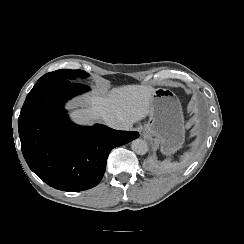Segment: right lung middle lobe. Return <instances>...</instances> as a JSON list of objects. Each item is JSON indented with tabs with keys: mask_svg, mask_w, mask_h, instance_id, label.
<instances>
[{
	"mask_svg": "<svg viewBox=\"0 0 244 244\" xmlns=\"http://www.w3.org/2000/svg\"><path fill=\"white\" fill-rule=\"evenodd\" d=\"M89 76L88 73H86L83 70H67V69H61L54 72H50L42 76L37 83H41L44 81H55V80H70L74 81L78 77L80 78H86Z\"/></svg>",
	"mask_w": 244,
	"mask_h": 244,
	"instance_id": "1",
	"label": "right lung middle lobe"
}]
</instances>
